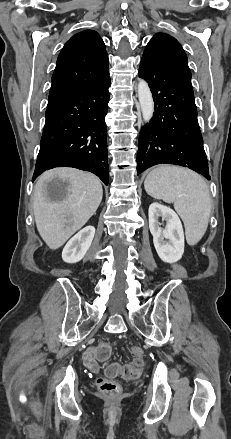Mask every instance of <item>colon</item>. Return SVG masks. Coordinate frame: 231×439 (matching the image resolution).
I'll list each match as a JSON object with an SVG mask.
<instances>
[{
    "instance_id": "5ec220e1",
    "label": "colon",
    "mask_w": 231,
    "mask_h": 439,
    "mask_svg": "<svg viewBox=\"0 0 231 439\" xmlns=\"http://www.w3.org/2000/svg\"><path fill=\"white\" fill-rule=\"evenodd\" d=\"M111 345L104 341L97 347L96 356L103 362L104 376L96 379L98 389L107 395H115L120 392V385L114 380L117 376H122L126 380H133L137 378L144 365L143 351L139 347H132L130 353L133 356L131 364L121 366L118 363L110 362Z\"/></svg>"
}]
</instances>
